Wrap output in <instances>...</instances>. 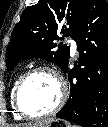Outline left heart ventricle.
Returning <instances> with one entry per match:
<instances>
[{
	"label": "left heart ventricle",
	"instance_id": "left-heart-ventricle-1",
	"mask_svg": "<svg viewBox=\"0 0 108 127\" xmlns=\"http://www.w3.org/2000/svg\"><path fill=\"white\" fill-rule=\"evenodd\" d=\"M59 95L57 80L48 73H38L26 82L21 93V104L30 114H43L57 104Z\"/></svg>",
	"mask_w": 108,
	"mask_h": 127
}]
</instances>
